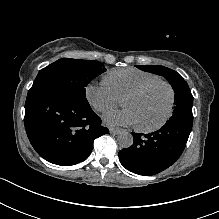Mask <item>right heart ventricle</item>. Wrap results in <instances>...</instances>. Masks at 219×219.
Wrapping results in <instances>:
<instances>
[{"label": "right heart ventricle", "mask_w": 219, "mask_h": 219, "mask_svg": "<svg viewBox=\"0 0 219 219\" xmlns=\"http://www.w3.org/2000/svg\"><path fill=\"white\" fill-rule=\"evenodd\" d=\"M157 79H160L158 75L134 67L111 71L105 77V81L117 99L124 98L144 83Z\"/></svg>", "instance_id": "e07e8e85"}]
</instances>
